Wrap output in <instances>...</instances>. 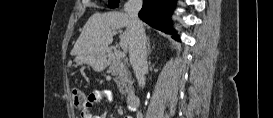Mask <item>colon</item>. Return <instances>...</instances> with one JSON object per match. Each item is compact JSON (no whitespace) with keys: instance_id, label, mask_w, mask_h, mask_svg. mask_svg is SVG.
I'll return each mask as SVG.
<instances>
[{"instance_id":"5ec220e1","label":"colon","mask_w":273,"mask_h":118,"mask_svg":"<svg viewBox=\"0 0 273 118\" xmlns=\"http://www.w3.org/2000/svg\"><path fill=\"white\" fill-rule=\"evenodd\" d=\"M73 104L76 108H84L87 105V99L84 93L79 89L72 91Z\"/></svg>"}]
</instances>
